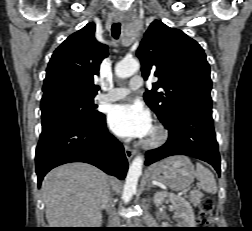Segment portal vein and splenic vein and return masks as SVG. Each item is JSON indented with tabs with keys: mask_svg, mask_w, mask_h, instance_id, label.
Returning <instances> with one entry per match:
<instances>
[{
	"mask_svg": "<svg viewBox=\"0 0 252 231\" xmlns=\"http://www.w3.org/2000/svg\"><path fill=\"white\" fill-rule=\"evenodd\" d=\"M186 194V190H183L179 193V195H185Z\"/></svg>",
	"mask_w": 252,
	"mask_h": 231,
	"instance_id": "portal-vein-and-splenic-vein-1",
	"label": "portal vein and splenic vein"
}]
</instances>
